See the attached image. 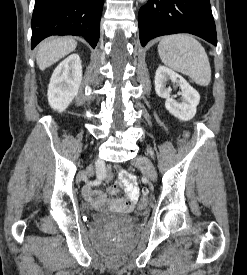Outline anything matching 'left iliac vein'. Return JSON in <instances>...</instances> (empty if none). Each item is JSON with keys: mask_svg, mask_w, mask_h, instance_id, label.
I'll list each match as a JSON object with an SVG mask.
<instances>
[{"mask_svg": "<svg viewBox=\"0 0 247 275\" xmlns=\"http://www.w3.org/2000/svg\"><path fill=\"white\" fill-rule=\"evenodd\" d=\"M133 164L138 167L147 178L151 180L156 179L155 167L147 157L139 156L134 160Z\"/></svg>", "mask_w": 247, "mask_h": 275, "instance_id": "left-iliac-vein-1", "label": "left iliac vein"}]
</instances>
